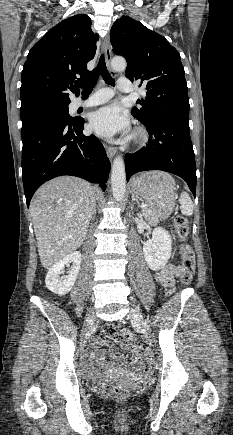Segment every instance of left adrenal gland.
<instances>
[{
	"mask_svg": "<svg viewBox=\"0 0 233 435\" xmlns=\"http://www.w3.org/2000/svg\"><path fill=\"white\" fill-rule=\"evenodd\" d=\"M132 202H136L138 205V208L140 207V203H139L138 199L135 198L134 194H132Z\"/></svg>",
	"mask_w": 233,
	"mask_h": 435,
	"instance_id": "a2214340",
	"label": "left adrenal gland"
}]
</instances>
